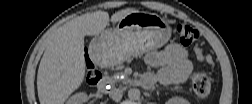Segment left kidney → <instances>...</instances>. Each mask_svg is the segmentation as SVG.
<instances>
[{"mask_svg": "<svg viewBox=\"0 0 252 104\" xmlns=\"http://www.w3.org/2000/svg\"><path fill=\"white\" fill-rule=\"evenodd\" d=\"M170 104H186L187 100L180 98V97H172L168 101Z\"/></svg>", "mask_w": 252, "mask_h": 104, "instance_id": "5707ae66", "label": "left kidney"}]
</instances>
